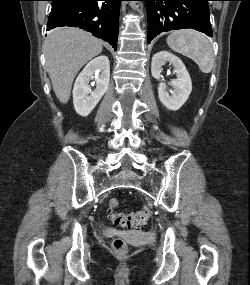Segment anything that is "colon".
Returning <instances> with one entry per match:
<instances>
[{
	"instance_id": "1",
	"label": "colon",
	"mask_w": 250,
	"mask_h": 285,
	"mask_svg": "<svg viewBox=\"0 0 250 285\" xmlns=\"http://www.w3.org/2000/svg\"><path fill=\"white\" fill-rule=\"evenodd\" d=\"M119 205L116 198H111L108 202V212L112 223L122 228H142L145 227L151 217L149 208L144 207L132 213L115 212ZM112 249L118 255H124L128 251V245L125 240L116 238L112 242Z\"/></svg>"
}]
</instances>
